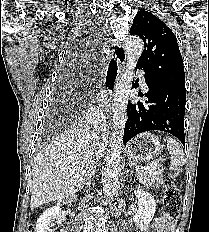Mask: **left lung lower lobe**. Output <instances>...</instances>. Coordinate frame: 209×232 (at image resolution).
I'll return each instance as SVG.
<instances>
[{"label": "left lung lower lobe", "instance_id": "0a47b994", "mask_svg": "<svg viewBox=\"0 0 209 232\" xmlns=\"http://www.w3.org/2000/svg\"><path fill=\"white\" fill-rule=\"evenodd\" d=\"M145 81L149 88V91L145 94L147 97L146 103H128V119L125 123L123 137L124 144L139 133L159 130L174 135L185 146V90L170 84H159L146 73ZM137 86L138 81H135L133 87Z\"/></svg>", "mask_w": 209, "mask_h": 232}]
</instances>
